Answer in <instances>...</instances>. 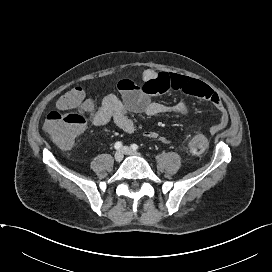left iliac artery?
Instances as JSON below:
<instances>
[{
    "label": "left iliac artery",
    "instance_id": "left-iliac-artery-1",
    "mask_svg": "<svg viewBox=\"0 0 272 272\" xmlns=\"http://www.w3.org/2000/svg\"><path fill=\"white\" fill-rule=\"evenodd\" d=\"M131 148H132L133 150H137V149H138V145H137V144H132V145H131Z\"/></svg>",
    "mask_w": 272,
    "mask_h": 272
}]
</instances>
